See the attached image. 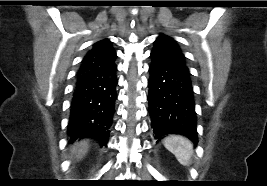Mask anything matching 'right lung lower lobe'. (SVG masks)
I'll return each mask as SVG.
<instances>
[{
	"mask_svg": "<svg viewBox=\"0 0 267 186\" xmlns=\"http://www.w3.org/2000/svg\"><path fill=\"white\" fill-rule=\"evenodd\" d=\"M117 66L111 62L101 67L78 71L70 105L68 136L95 138L107 143L117 98Z\"/></svg>",
	"mask_w": 267,
	"mask_h": 186,
	"instance_id": "98d812e1",
	"label": "right lung lower lobe"
}]
</instances>
